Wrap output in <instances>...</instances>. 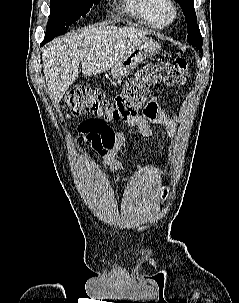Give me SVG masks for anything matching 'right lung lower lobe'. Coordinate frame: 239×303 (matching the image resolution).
I'll return each instance as SVG.
<instances>
[{
	"label": "right lung lower lobe",
	"instance_id": "98d812e1",
	"mask_svg": "<svg viewBox=\"0 0 239 303\" xmlns=\"http://www.w3.org/2000/svg\"><path fill=\"white\" fill-rule=\"evenodd\" d=\"M48 41H50V39H49V38H47V37H45V39H44V41H43L42 45H43L44 43L48 42Z\"/></svg>",
	"mask_w": 239,
	"mask_h": 303
}]
</instances>
